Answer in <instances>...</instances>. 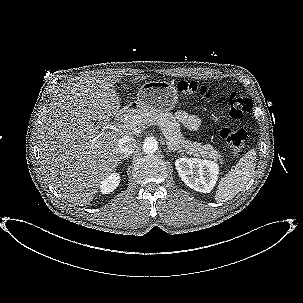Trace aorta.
I'll return each instance as SVG.
<instances>
[{
  "label": "aorta",
  "mask_w": 303,
  "mask_h": 303,
  "mask_svg": "<svg viewBox=\"0 0 303 303\" xmlns=\"http://www.w3.org/2000/svg\"><path fill=\"white\" fill-rule=\"evenodd\" d=\"M143 151L146 154H152L158 150V142L154 137H148L144 140Z\"/></svg>",
  "instance_id": "1"
}]
</instances>
